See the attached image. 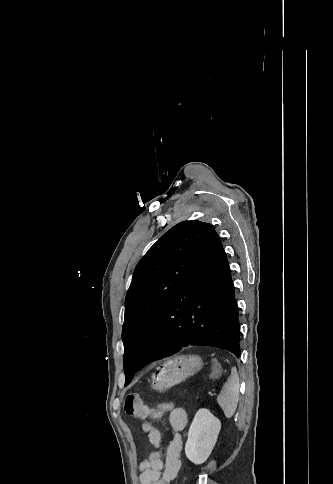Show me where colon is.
I'll use <instances>...</instances> for the list:
<instances>
[{
  "instance_id": "1",
  "label": "colon",
  "mask_w": 333,
  "mask_h": 484,
  "mask_svg": "<svg viewBox=\"0 0 333 484\" xmlns=\"http://www.w3.org/2000/svg\"><path fill=\"white\" fill-rule=\"evenodd\" d=\"M212 378L217 379L221 375V368L219 364L213 363L212 370H211ZM152 408V407H151ZM177 408L173 402H166L158 405L157 407L152 408L151 414L155 418H159L162 415L168 413L169 411Z\"/></svg>"
}]
</instances>
